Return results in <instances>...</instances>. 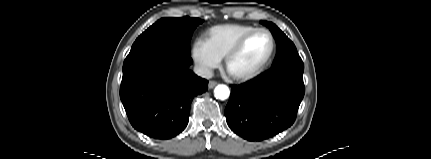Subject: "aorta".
<instances>
[{
  "label": "aorta",
  "instance_id": "aorta-1",
  "mask_svg": "<svg viewBox=\"0 0 431 159\" xmlns=\"http://www.w3.org/2000/svg\"><path fill=\"white\" fill-rule=\"evenodd\" d=\"M229 95H230V90L226 85L220 84L216 86L214 89V96L217 99L225 100L229 97Z\"/></svg>",
  "mask_w": 431,
  "mask_h": 159
}]
</instances>
